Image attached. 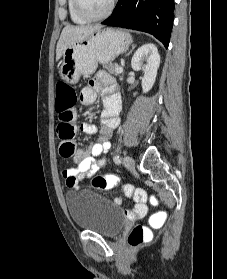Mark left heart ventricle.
<instances>
[{
	"instance_id": "1",
	"label": "left heart ventricle",
	"mask_w": 227,
	"mask_h": 279,
	"mask_svg": "<svg viewBox=\"0 0 227 279\" xmlns=\"http://www.w3.org/2000/svg\"><path fill=\"white\" fill-rule=\"evenodd\" d=\"M80 3L89 15L97 16L107 10L110 0H80Z\"/></svg>"
}]
</instances>
